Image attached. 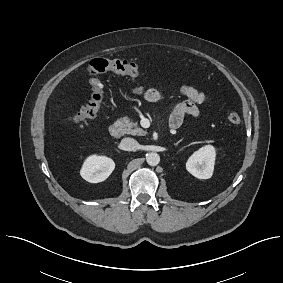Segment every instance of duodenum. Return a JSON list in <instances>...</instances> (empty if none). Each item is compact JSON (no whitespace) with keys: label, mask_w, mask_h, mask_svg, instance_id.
<instances>
[{"label":"duodenum","mask_w":283,"mask_h":283,"mask_svg":"<svg viewBox=\"0 0 283 283\" xmlns=\"http://www.w3.org/2000/svg\"><path fill=\"white\" fill-rule=\"evenodd\" d=\"M109 134L113 137V138H118L121 134V128L120 126L113 122L110 124L109 128H108Z\"/></svg>","instance_id":"obj_1"}]
</instances>
